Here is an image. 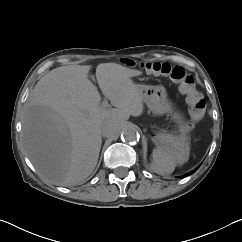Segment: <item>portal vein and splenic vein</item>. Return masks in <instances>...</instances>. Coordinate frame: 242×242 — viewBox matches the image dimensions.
I'll list each match as a JSON object with an SVG mask.
<instances>
[{
	"label": "portal vein and splenic vein",
	"mask_w": 242,
	"mask_h": 242,
	"mask_svg": "<svg viewBox=\"0 0 242 242\" xmlns=\"http://www.w3.org/2000/svg\"><path fill=\"white\" fill-rule=\"evenodd\" d=\"M108 106V101L105 99L102 104H101V107L102 108H106Z\"/></svg>",
	"instance_id": "portal-vein-and-splenic-vein-1"
}]
</instances>
